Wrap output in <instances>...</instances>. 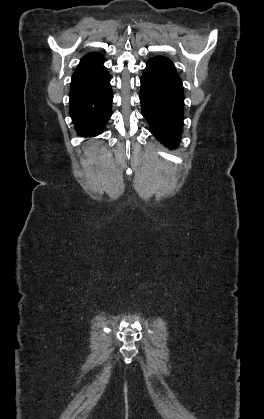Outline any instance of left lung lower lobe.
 <instances>
[{"instance_id":"left-lung-lower-lobe-1","label":"left lung lower lobe","mask_w":264,"mask_h":419,"mask_svg":"<svg viewBox=\"0 0 264 419\" xmlns=\"http://www.w3.org/2000/svg\"><path fill=\"white\" fill-rule=\"evenodd\" d=\"M142 114L149 130L173 149L180 142L183 126V86L173 63L157 56L150 59L141 78Z\"/></svg>"}]
</instances>
